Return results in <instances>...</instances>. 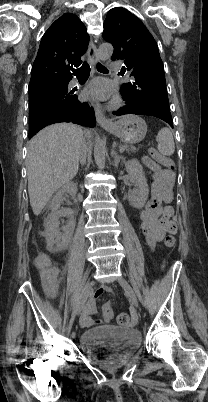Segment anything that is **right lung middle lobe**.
I'll return each instance as SVG.
<instances>
[{
  "label": "right lung middle lobe",
  "instance_id": "right-lung-middle-lobe-1",
  "mask_svg": "<svg viewBox=\"0 0 208 402\" xmlns=\"http://www.w3.org/2000/svg\"><path fill=\"white\" fill-rule=\"evenodd\" d=\"M69 80L44 81L29 90V124L41 114L71 109L78 102L73 92H68Z\"/></svg>",
  "mask_w": 208,
  "mask_h": 402
}]
</instances>
